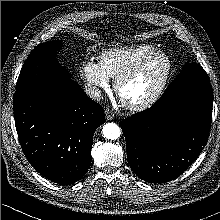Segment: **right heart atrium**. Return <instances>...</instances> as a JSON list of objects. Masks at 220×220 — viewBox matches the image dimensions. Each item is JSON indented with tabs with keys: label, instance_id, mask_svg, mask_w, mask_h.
<instances>
[{
	"label": "right heart atrium",
	"instance_id": "obj_1",
	"mask_svg": "<svg viewBox=\"0 0 220 220\" xmlns=\"http://www.w3.org/2000/svg\"><path fill=\"white\" fill-rule=\"evenodd\" d=\"M82 76L95 95L109 87V77L98 62L87 60L82 65Z\"/></svg>",
	"mask_w": 220,
	"mask_h": 220
}]
</instances>
